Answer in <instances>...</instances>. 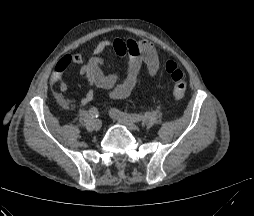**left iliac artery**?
Listing matches in <instances>:
<instances>
[{"mask_svg":"<svg viewBox=\"0 0 254 216\" xmlns=\"http://www.w3.org/2000/svg\"><path fill=\"white\" fill-rule=\"evenodd\" d=\"M112 113H114L116 116L124 118V119H129L133 122H139L142 119V116L139 114H130V113H126V112H122L118 109H112L111 110Z\"/></svg>","mask_w":254,"mask_h":216,"instance_id":"1","label":"left iliac artery"}]
</instances>
